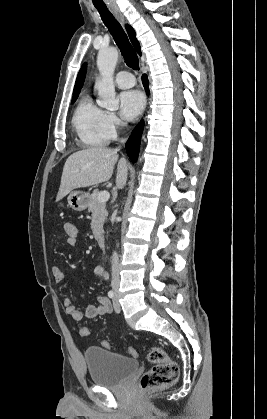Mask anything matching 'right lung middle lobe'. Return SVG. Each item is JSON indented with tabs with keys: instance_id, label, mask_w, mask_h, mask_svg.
Here are the masks:
<instances>
[{
	"instance_id": "1",
	"label": "right lung middle lobe",
	"mask_w": 267,
	"mask_h": 419,
	"mask_svg": "<svg viewBox=\"0 0 267 419\" xmlns=\"http://www.w3.org/2000/svg\"><path fill=\"white\" fill-rule=\"evenodd\" d=\"M77 97H78V95L73 96L72 103H74L76 101Z\"/></svg>"
}]
</instances>
